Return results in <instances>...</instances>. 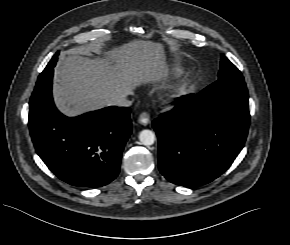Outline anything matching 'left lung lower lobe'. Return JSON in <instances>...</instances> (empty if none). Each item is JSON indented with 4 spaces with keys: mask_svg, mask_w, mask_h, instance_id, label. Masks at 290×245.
<instances>
[{
    "mask_svg": "<svg viewBox=\"0 0 290 245\" xmlns=\"http://www.w3.org/2000/svg\"><path fill=\"white\" fill-rule=\"evenodd\" d=\"M250 122L244 79L217 80L198 95L181 97L152 122L158 136V166L170 182L207 184L233 163Z\"/></svg>",
    "mask_w": 290,
    "mask_h": 245,
    "instance_id": "0a47b994",
    "label": "left lung lower lobe"
}]
</instances>
